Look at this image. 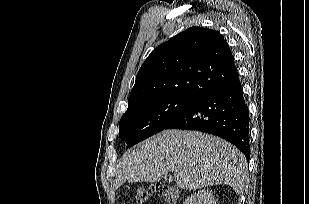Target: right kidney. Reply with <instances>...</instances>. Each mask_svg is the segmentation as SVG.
I'll list each match as a JSON object with an SVG mask.
<instances>
[{
	"label": "right kidney",
	"instance_id": "ca27d5eb",
	"mask_svg": "<svg viewBox=\"0 0 309 204\" xmlns=\"http://www.w3.org/2000/svg\"><path fill=\"white\" fill-rule=\"evenodd\" d=\"M183 204H216L212 190L204 189L187 198Z\"/></svg>",
	"mask_w": 309,
	"mask_h": 204
}]
</instances>
